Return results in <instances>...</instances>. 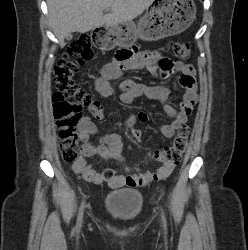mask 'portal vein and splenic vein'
Instances as JSON below:
<instances>
[{"label": "portal vein and splenic vein", "mask_w": 248, "mask_h": 250, "mask_svg": "<svg viewBox=\"0 0 248 250\" xmlns=\"http://www.w3.org/2000/svg\"><path fill=\"white\" fill-rule=\"evenodd\" d=\"M105 12L107 13V12H109V10H105Z\"/></svg>", "instance_id": "18ae733b"}]
</instances>
